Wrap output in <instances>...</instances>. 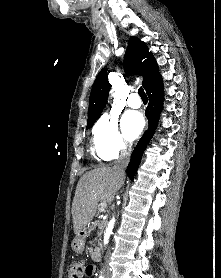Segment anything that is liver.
Masks as SVG:
<instances>
[{
    "instance_id": "6515ba94",
    "label": "liver",
    "mask_w": 221,
    "mask_h": 278,
    "mask_svg": "<svg viewBox=\"0 0 221 278\" xmlns=\"http://www.w3.org/2000/svg\"><path fill=\"white\" fill-rule=\"evenodd\" d=\"M124 183L114 167L103 166L85 173L79 180L72 203L74 233H80L93 219L97 205L111 203Z\"/></svg>"
}]
</instances>
